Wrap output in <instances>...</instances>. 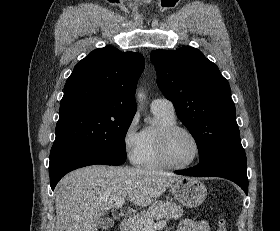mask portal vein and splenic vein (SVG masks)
Returning a JSON list of instances; mask_svg holds the SVG:
<instances>
[{"mask_svg":"<svg viewBox=\"0 0 280 231\" xmlns=\"http://www.w3.org/2000/svg\"><path fill=\"white\" fill-rule=\"evenodd\" d=\"M124 199H120L117 201V205H123ZM166 221L165 219H161L158 223H154L153 219H147L144 223L145 231H155V229H160V227H165Z\"/></svg>","mask_w":280,"mask_h":231,"instance_id":"obj_1","label":"portal vein and splenic vein"}]
</instances>
